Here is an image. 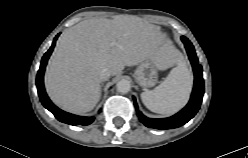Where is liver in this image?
Listing matches in <instances>:
<instances>
[{"label":"liver","mask_w":248,"mask_h":158,"mask_svg":"<svg viewBox=\"0 0 248 158\" xmlns=\"http://www.w3.org/2000/svg\"><path fill=\"white\" fill-rule=\"evenodd\" d=\"M174 49L160 27L136 16L92 18L67 29L58 39L45 73V87L62 109L83 114L94 109L101 94L100 71L115 76L125 66L145 60L160 63Z\"/></svg>","instance_id":"obj_1"}]
</instances>
